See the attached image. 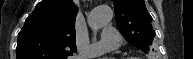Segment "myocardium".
Returning <instances> with one entry per match:
<instances>
[{"label":"myocardium","mask_w":193,"mask_h":59,"mask_svg":"<svg viewBox=\"0 0 193 59\" xmlns=\"http://www.w3.org/2000/svg\"><path fill=\"white\" fill-rule=\"evenodd\" d=\"M124 59H140L138 57H125Z\"/></svg>","instance_id":"1"}]
</instances>
